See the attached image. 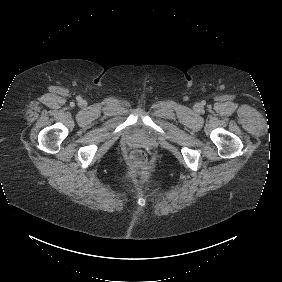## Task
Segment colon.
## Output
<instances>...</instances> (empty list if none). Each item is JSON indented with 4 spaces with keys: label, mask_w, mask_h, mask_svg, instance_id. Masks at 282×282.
Listing matches in <instances>:
<instances>
[{
    "label": "colon",
    "mask_w": 282,
    "mask_h": 282,
    "mask_svg": "<svg viewBox=\"0 0 282 282\" xmlns=\"http://www.w3.org/2000/svg\"><path fill=\"white\" fill-rule=\"evenodd\" d=\"M131 165L134 170L143 172L150 165L149 153L143 147H136L130 153Z\"/></svg>",
    "instance_id": "5ec220e1"
}]
</instances>
